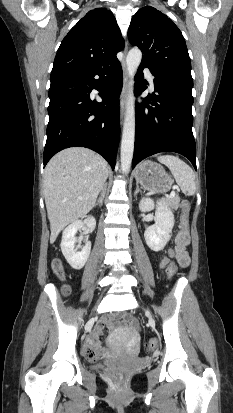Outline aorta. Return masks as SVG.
<instances>
[{"label":"aorta","instance_id":"aorta-1","mask_svg":"<svg viewBox=\"0 0 233 413\" xmlns=\"http://www.w3.org/2000/svg\"><path fill=\"white\" fill-rule=\"evenodd\" d=\"M142 60V52L138 48L131 49L126 57L128 70L129 91L126 104V113L123 124L121 141V171L127 174L130 171L134 152L135 140V103H134V76Z\"/></svg>","mask_w":233,"mask_h":413}]
</instances>
